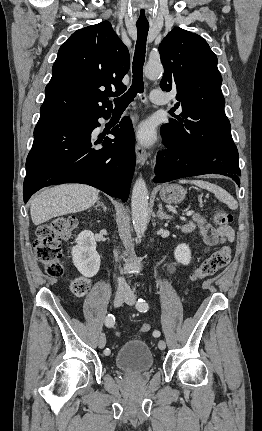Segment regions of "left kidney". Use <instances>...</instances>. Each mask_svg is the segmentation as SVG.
<instances>
[{"label": "left kidney", "mask_w": 262, "mask_h": 431, "mask_svg": "<svg viewBox=\"0 0 262 431\" xmlns=\"http://www.w3.org/2000/svg\"><path fill=\"white\" fill-rule=\"evenodd\" d=\"M175 259L178 263L188 265L191 261V250L188 245L179 244L174 251Z\"/></svg>", "instance_id": "5707ae66"}]
</instances>
